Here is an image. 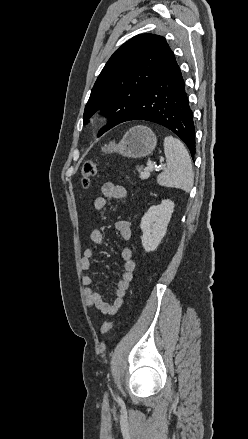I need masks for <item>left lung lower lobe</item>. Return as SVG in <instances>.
Masks as SVG:
<instances>
[{
    "mask_svg": "<svg viewBox=\"0 0 248 439\" xmlns=\"http://www.w3.org/2000/svg\"><path fill=\"white\" fill-rule=\"evenodd\" d=\"M131 120H146L168 128L187 145L194 159L193 113L174 55L121 123Z\"/></svg>",
    "mask_w": 248,
    "mask_h": 439,
    "instance_id": "obj_1",
    "label": "left lung lower lobe"
}]
</instances>
